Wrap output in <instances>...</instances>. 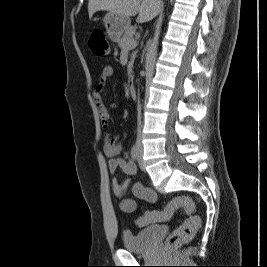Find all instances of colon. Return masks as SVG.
Masks as SVG:
<instances>
[{
  "label": "colon",
  "instance_id": "1",
  "mask_svg": "<svg viewBox=\"0 0 267 267\" xmlns=\"http://www.w3.org/2000/svg\"><path fill=\"white\" fill-rule=\"evenodd\" d=\"M89 47L94 55L107 56L110 45L101 31H95L89 38ZM183 209L188 217L167 237L166 245L175 247L191 240L200 226V217L195 214V203L188 196H177L162 210H149L136 221L140 227L170 219L176 210Z\"/></svg>",
  "mask_w": 267,
  "mask_h": 267
}]
</instances>
